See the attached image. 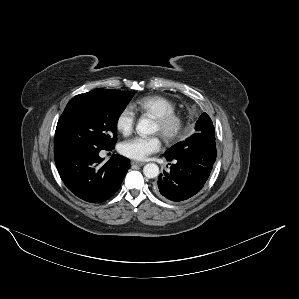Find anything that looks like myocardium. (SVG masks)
<instances>
[{"mask_svg":"<svg viewBox=\"0 0 299 299\" xmlns=\"http://www.w3.org/2000/svg\"><path fill=\"white\" fill-rule=\"evenodd\" d=\"M155 122L160 126V134L168 142L176 140L182 134L185 125L183 117L176 112L156 117Z\"/></svg>","mask_w":299,"mask_h":299,"instance_id":"f54148a6","label":"myocardium"}]
</instances>
